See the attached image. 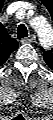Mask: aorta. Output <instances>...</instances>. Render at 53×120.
Here are the masks:
<instances>
[{
  "mask_svg": "<svg viewBox=\"0 0 53 120\" xmlns=\"http://www.w3.org/2000/svg\"><path fill=\"white\" fill-rule=\"evenodd\" d=\"M33 25L37 30L41 44L46 47L49 46L52 42V29L50 25L40 18L36 19Z\"/></svg>",
  "mask_w": 53,
  "mask_h": 120,
  "instance_id": "1",
  "label": "aorta"
}]
</instances>
